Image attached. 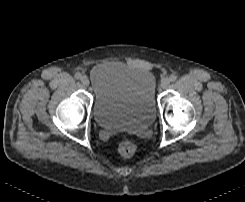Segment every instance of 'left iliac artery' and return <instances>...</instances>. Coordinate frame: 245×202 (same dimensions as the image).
Instances as JSON below:
<instances>
[{
  "label": "left iliac artery",
  "mask_w": 245,
  "mask_h": 202,
  "mask_svg": "<svg viewBox=\"0 0 245 202\" xmlns=\"http://www.w3.org/2000/svg\"><path fill=\"white\" fill-rule=\"evenodd\" d=\"M169 79H170V81L174 82V81H176L177 76L176 75H171Z\"/></svg>",
  "instance_id": "44dca946"
}]
</instances>
